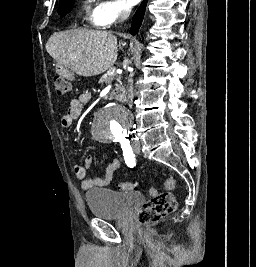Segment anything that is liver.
<instances>
[{"label": "liver", "mask_w": 256, "mask_h": 267, "mask_svg": "<svg viewBox=\"0 0 256 267\" xmlns=\"http://www.w3.org/2000/svg\"><path fill=\"white\" fill-rule=\"evenodd\" d=\"M118 48H122V42L118 44L113 32L86 28L54 32L46 44L49 56L78 76H98L112 68Z\"/></svg>", "instance_id": "6515ba94"}]
</instances>
